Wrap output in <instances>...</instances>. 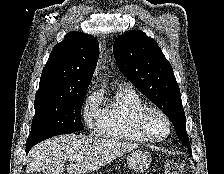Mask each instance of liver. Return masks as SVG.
Masks as SVG:
<instances>
[{"label": "liver", "instance_id": "liver-1", "mask_svg": "<svg viewBox=\"0 0 224 174\" xmlns=\"http://www.w3.org/2000/svg\"><path fill=\"white\" fill-rule=\"evenodd\" d=\"M137 145L101 138L62 135L34 146L27 159V173L62 174L64 163L69 174H86L110 163Z\"/></svg>", "mask_w": 224, "mask_h": 174}]
</instances>
